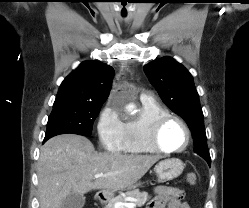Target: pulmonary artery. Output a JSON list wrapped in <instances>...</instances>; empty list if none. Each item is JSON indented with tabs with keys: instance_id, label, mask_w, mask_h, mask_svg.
Instances as JSON below:
<instances>
[{
	"instance_id": "1",
	"label": "pulmonary artery",
	"mask_w": 249,
	"mask_h": 208,
	"mask_svg": "<svg viewBox=\"0 0 249 208\" xmlns=\"http://www.w3.org/2000/svg\"><path fill=\"white\" fill-rule=\"evenodd\" d=\"M141 100H142V101H146V100H151V98H150L149 95L142 94V95H141Z\"/></svg>"
}]
</instances>
